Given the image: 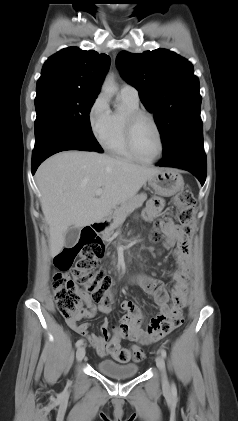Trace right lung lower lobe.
<instances>
[{
    "label": "right lung lower lobe",
    "mask_w": 238,
    "mask_h": 421,
    "mask_svg": "<svg viewBox=\"0 0 238 421\" xmlns=\"http://www.w3.org/2000/svg\"><path fill=\"white\" fill-rule=\"evenodd\" d=\"M66 150L95 151L70 133L56 126L46 127L35 139L32 154V174L49 156Z\"/></svg>",
    "instance_id": "98d812e1"
}]
</instances>
